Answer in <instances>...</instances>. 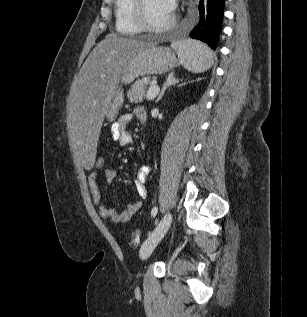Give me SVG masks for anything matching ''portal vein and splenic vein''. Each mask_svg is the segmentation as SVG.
Listing matches in <instances>:
<instances>
[{"instance_id":"obj_1","label":"portal vein and splenic vein","mask_w":307,"mask_h":317,"mask_svg":"<svg viewBox=\"0 0 307 317\" xmlns=\"http://www.w3.org/2000/svg\"><path fill=\"white\" fill-rule=\"evenodd\" d=\"M159 91H160V88L155 83H152L147 91L146 99L147 100L154 99L159 93Z\"/></svg>"}]
</instances>
